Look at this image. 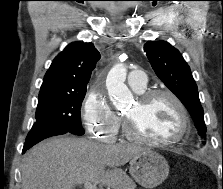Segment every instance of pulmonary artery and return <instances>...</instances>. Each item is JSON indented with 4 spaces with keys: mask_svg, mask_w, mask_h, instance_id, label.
I'll list each match as a JSON object with an SVG mask.
<instances>
[{
    "mask_svg": "<svg viewBox=\"0 0 223 189\" xmlns=\"http://www.w3.org/2000/svg\"><path fill=\"white\" fill-rule=\"evenodd\" d=\"M127 84L135 91H142L147 84V77L143 70L134 69L129 73Z\"/></svg>",
    "mask_w": 223,
    "mask_h": 189,
    "instance_id": "pulmonary-artery-1",
    "label": "pulmonary artery"
}]
</instances>
